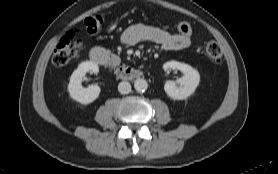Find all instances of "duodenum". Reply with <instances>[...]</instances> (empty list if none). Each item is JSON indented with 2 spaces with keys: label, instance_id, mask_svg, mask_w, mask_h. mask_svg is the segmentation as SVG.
Returning <instances> with one entry per match:
<instances>
[{
  "label": "duodenum",
  "instance_id": "duodenum-1",
  "mask_svg": "<svg viewBox=\"0 0 278 174\" xmlns=\"http://www.w3.org/2000/svg\"><path fill=\"white\" fill-rule=\"evenodd\" d=\"M90 59L99 65H106L108 63V55L100 47H94L90 50ZM116 74L123 80H132L140 78L143 75V71L128 66H120L117 68Z\"/></svg>",
  "mask_w": 278,
  "mask_h": 174
}]
</instances>
